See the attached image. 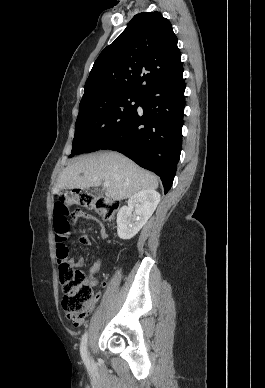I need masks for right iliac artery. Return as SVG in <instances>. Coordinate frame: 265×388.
<instances>
[{
	"mask_svg": "<svg viewBox=\"0 0 265 388\" xmlns=\"http://www.w3.org/2000/svg\"><path fill=\"white\" fill-rule=\"evenodd\" d=\"M87 337H88V333L86 332L81 339L80 353H81V357L83 359V362L85 363V365L87 367H89L90 360H89V357L87 354Z\"/></svg>",
	"mask_w": 265,
	"mask_h": 388,
	"instance_id": "1",
	"label": "right iliac artery"
}]
</instances>
